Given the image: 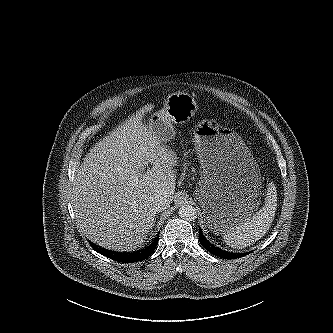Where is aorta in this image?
Listing matches in <instances>:
<instances>
[{"label":"aorta","mask_w":333,"mask_h":333,"mask_svg":"<svg viewBox=\"0 0 333 333\" xmlns=\"http://www.w3.org/2000/svg\"><path fill=\"white\" fill-rule=\"evenodd\" d=\"M179 216L187 221H194L197 218V210L189 204H184L179 208Z\"/></svg>","instance_id":"obj_1"}]
</instances>
